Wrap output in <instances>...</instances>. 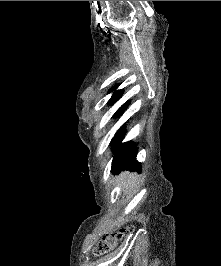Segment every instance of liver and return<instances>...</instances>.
Masks as SVG:
<instances>
[{
    "label": "liver",
    "instance_id": "liver-1",
    "mask_svg": "<svg viewBox=\"0 0 221 266\" xmlns=\"http://www.w3.org/2000/svg\"><path fill=\"white\" fill-rule=\"evenodd\" d=\"M120 181L122 183V191L125 194H128L131 191H134L138 184L137 174L136 173L128 174L127 172H124L121 175Z\"/></svg>",
    "mask_w": 221,
    "mask_h": 266
}]
</instances>
